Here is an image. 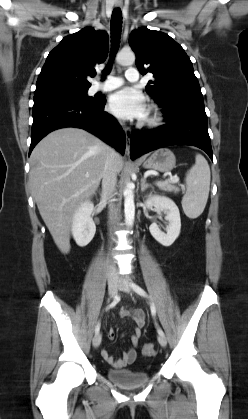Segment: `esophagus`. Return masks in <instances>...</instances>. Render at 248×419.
<instances>
[{
	"instance_id": "esophagus-1",
	"label": "esophagus",
	"mask_w": 248,
	"mask_h": 419,
	"mask_svg": "<svg viewBox=\"0 0 248 419\" xmlns=\"http://www.w3.org/2000/svg\"><path fill=\"white\" fill-rule=\"evenodd\" d=\"M116 6H120V5H116ZM124 133H125L126 141H127V143H126V153L129 154V151H130V139H131V130H130V128L125 127L124 128Z\"/></svg>"
}]
</instances>
